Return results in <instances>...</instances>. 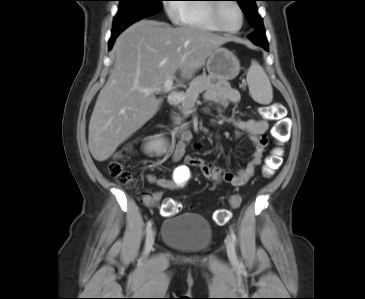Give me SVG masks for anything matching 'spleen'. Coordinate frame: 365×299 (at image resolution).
Returning <instances> with one entry per match:
<instances>
[{
	"label": "spleen",
	"instance_id": "3e777b00",
	"mask_svg": "<svg viewBox=\"0 0 365 299\" xmlns=\"http://www.w3.org/2000/svg\"><path fill=\"white\" fill-rule=\"evenodd\" d=\"M247 83L251 97L259 104H270L273 99V90L270 80L264 69L255 60L247 72Z\"/></svg>",
	"mask_w": 365,
	"mask_h": 299
}]
</instances>
